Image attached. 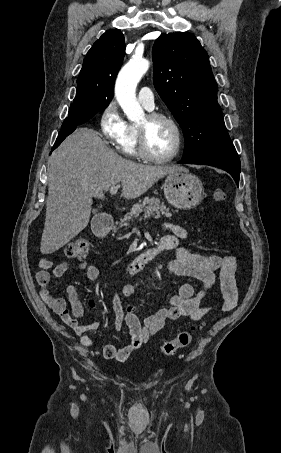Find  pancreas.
<instances>
[{
  "label": "pancreas",
  "mask_w": 281,
  "mask_h": 453,
  "mask_svg": "<svg viewBox=\"0 0 281 453\" xmlns=\"http://www.w3.org/2000/svg\"><path fill=\"white\" fill-rule=\"evenodd\" d=\"M170 208H166L164 202H160V198L156 196H145L144 200H139L133 204L130 212L125 214L124 218H120L121 227H128L129 220L134 216H140V212H144V218H160V216H172L169 212ZM118 227H113V231H117Z\"/></svg>",
  "instance_id": "cf45deb5"
}]
</instances>
